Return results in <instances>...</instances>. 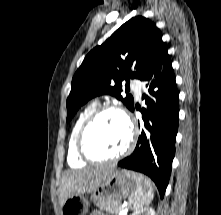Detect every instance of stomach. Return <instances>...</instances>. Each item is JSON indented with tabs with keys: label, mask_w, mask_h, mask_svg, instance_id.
Returning a JSON list of instances; mask_svg holds the SVG:
<instances>
[{
	"label": "stomach",
	"mask_w": 221,
	"mask_h": 215,
	"mask_svg": "<svg viewBox=\"0 0 221 215\" xmlns=\"http://www.w3.org/2000/svg\"><path fill=\"white\" fill-rule=\"evenodd\" d=\"M135 176L143 180L144 176L129 171L112 170L100 183V185L91 192V199L95 203L108 200L120 201L125 199L134 191L136 179ZM89 208V202L84 195L69 197L61 206V215H86Z\"/></svg>",
	"instance_id": "0dacf381"
}]
</instances>
